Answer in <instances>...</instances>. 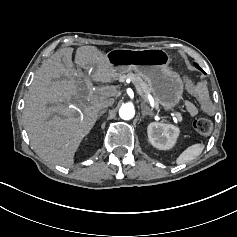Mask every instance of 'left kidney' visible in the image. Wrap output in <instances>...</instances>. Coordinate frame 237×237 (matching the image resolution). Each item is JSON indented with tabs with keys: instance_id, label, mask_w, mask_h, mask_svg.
<instances>
[{
	"instance_id": "1",
	"label": "left kidney",
	"mask_w": 237,
	"mask_h": 237,
	"mask_svg": "<svg viewBox=\"0 0 237 237\" xmlns=\"http://www.w3.org/2000/svg\"><path fill=\"white\" fill-rule=\"evenodd\" d=\"M147 134L152 146L159 150H169L176 144L180 129L172 124L152 122L147 127Z\"/></svg>"
}]
</instances>
